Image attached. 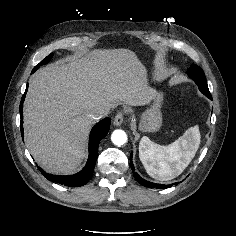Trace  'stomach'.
<instances>
[{
  "mask_svg": "<svg viewBox=\"0 0 236 236\" xmlns=\"http://www.w3.org/2000/svg\"><path fill=\"white\" fill-rule=\"evenodd\" d=\"M164 93L155 91L152 98V105L142 115L139 123V129L143 132L158 131L162 125L161 106Z\"/></svg>",
  "mask_w": 236,
  "mask_h": 236,
  "instance_id": "stomach-1",
  "label": "stomach"
}]
</instances>
